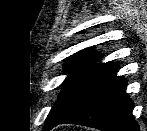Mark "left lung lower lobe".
Masks as SVG:
<instances>
[{"instance_id":"1","label":"left lung lower lobe","mask_w":147,"mask_h":131,"mask_svg":"<svg viewBox=\"0 0 147 131\" xmlns=\"http://www.w3.org/2000/svg\"><path fill=\"white\" fill-rule=\"evenodd\" d=\"M126 84L125 78L115 73L74 114L59 124H78L104 131H139Z\"/></svg>"}]
</instances>
